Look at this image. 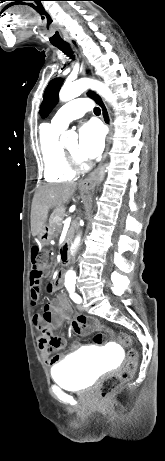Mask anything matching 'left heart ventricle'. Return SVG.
<instances>
[{
    "instance_id": "b2bd125f",
    "label": "left heart ventricle",
    "mask_w": 165,
    "mask_h": 461,
    "mask_svg": "<svg viewBox=\"0 0 165 461\" xmlns=\"http://www.w3.org/2000/svg\"><path fill=\"white\" fill-rule=\"evenodd\" d=\"M71 153L79 156V152H78V144L76 141L72 142L71 144H69L67 147H66Z\"/></svg>"
}]
</instances>
